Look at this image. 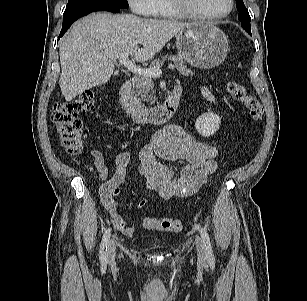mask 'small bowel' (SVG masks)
<instances>
[{
  "label": "small bowel",
  "instance_id": "small-bowel-1",
  "mask_svg": "<svg viewBox=\"0 0 307 301\" xmlns=\"http://www.w3.org/2000/svg\"><path fill=\"white\" fill-rule=\"evenodd\" d=\"M202 92L208 101H213L208 89L202 87ZM217 153L214 146L197 140L179 125L171 124L155 133L151 142L140 150L138 170L146 180L147 189L166 201L194 194L207 176L216 171ZM130 159L128 151L118 152L114 158L115 171L110 176L102 155L97 152L93 155L98 176L104 181L100 188L102 205L114 226L129 237L133 236L134 229L116 212V200ZM162 160L174 165L168 166ZM147 203L148 199L143 198L138 208Z\"/></svg>",
  "mask_w": 307,
  "mask_h": 301
}]
</instances>
